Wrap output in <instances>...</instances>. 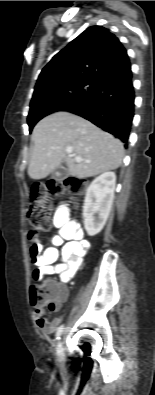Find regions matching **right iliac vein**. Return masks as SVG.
Returning <instances> with one entry per match:
<instances>
[{
	"mask_svg": "<svg viewBox=\"0 0 155 395\" xmlns=\"http://www.w3.org/2000/svg\"><path fill=\"white\" fill-rule=\"evenodd\" d=\"M56 351H57L58 360H59L60 362L64 361V359H65V353H64V348H63V343H62V341H59V342H58Z\"/></svg>",
	"mask_w": 155,
	"mask_h": 395,
	"instance_id": "obj_1",
	"label": "right iliac vein"
}]
</instances>
